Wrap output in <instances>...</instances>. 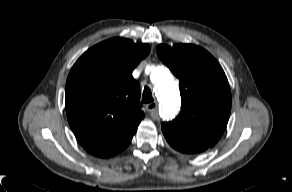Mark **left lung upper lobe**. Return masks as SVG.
Wrapping results in <instances>:
<instances>
[{"label": "left lung upper lobe", "mask_w": 292, "mask_h": 192, "mask_svg": "<svg viewBox=\"0 0 292 192\" xmlns=\"http://www.w3.org/2000/svg\"><path fill=\"white\" fill-rule=\"evenodd\" d=\"M159 58L179 78L182 110L163 133L187 142L213 147L222 136L231 111V92L216 59L192 44L157 47Z\"/></svg>", "instance_id": "5c2ea615"}]
</instances>
